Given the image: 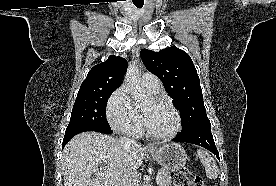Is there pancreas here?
I'll use <instances>...</instances> for the list:
<instances>
[{
	"label": "pancreas",
	"instance_id": "pancreas-1",
	"mask_svg": "<svg viewBox=\"0 0 276 186\" xmlns=\"http://www.w3.org/2000/svg\"><path fill=\"white\" fill-rule=\"evenodd\" d=\"M161 175V180L158 183V186H171V175L167 170H161L158 172Z\"/></svg>",
	"mask_w": 276,
	"mask_h": 186
}]
</instances>
